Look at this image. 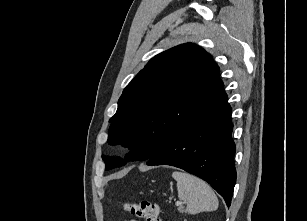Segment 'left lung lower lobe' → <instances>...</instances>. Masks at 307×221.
Wrapping results in <instances>:
<instances>
[{"instance_id":"obj_1","label":"left lung lower lobe","mask_w":307,"mask_h":221,"mask_svg":"<svg viewBox=\"0 0 307 221\" xmlns=\"http://www.w3.org/2000/svg\"><path fill=\"white\" fill-rule=\"evenodd\" d=\"M231 107L223 95L174 134L147 165H171L208 182L230 206L236 170Z\"/></svg>"}]
</instances>
